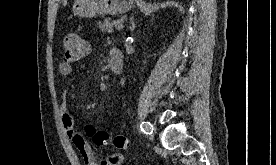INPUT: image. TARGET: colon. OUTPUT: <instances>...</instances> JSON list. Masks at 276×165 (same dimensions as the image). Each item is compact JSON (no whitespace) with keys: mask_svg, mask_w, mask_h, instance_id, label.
<instances>
[{"mask_svg":"<svg viewBox=\"0 0 276 165\" xmlns=\"http://www.w3.org/2000/svg\"><path fill=\"white\" fill-rule=\"evenodd\" d=\"M64 63L75 64L83 59L87 52L86 42L74 32L67 33L63 39ZM88 136L98 146L110 145L116 150H124L129 146V140L123 135H109L105 131H97L93 126L86 128Z\"/></svg>","mask_w":276,"mask_h":165,"instance_id":"1","label":"colon"}]
</instances>
